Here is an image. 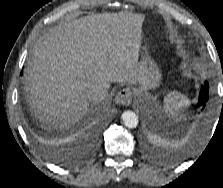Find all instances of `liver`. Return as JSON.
<instances>
[{
    "label": "liver",
    "mask_w": 223,
    "mask_h": 188,
    "mask_svg": "<svg viewBox=\"0 0 223 188\" xmlns=\"http://www.w3.org/2000/svg\"><path fill=\"white\" fill-rule=\"evenodd\" d=\"M143 14H92L53 28L32 50L24 78L33 115L61 129L90 105L95 85L138 81L139 27Z\"/></svg>",
    "instance_id": "obj_1"
}]
</instances>
